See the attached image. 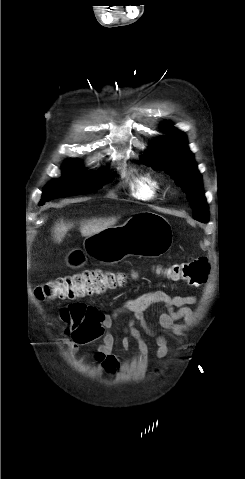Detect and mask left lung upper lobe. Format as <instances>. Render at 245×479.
Returning a JSON list of instances; mask_svg holds the SVG:
<instances>
[{"mask_svg": "<svg viewBox=\"0 0 245 479\" xmlns=\"http://www.w3.org/2000/svg\"><path fill=\"white\" fill-rule=\"evenodd\" d=\"M171 128L170 125H165ZM147 166L165 170L187 195L194 219L207 223L209 211L203 193L201 174L187 146L184 133L171 129L168 136L159 137L141 158Z\"/></svg>", "mask_w": 245, "mask_h": 479, "instance_id": "1", "label": "left lung upper lobe"}]
</instances>
